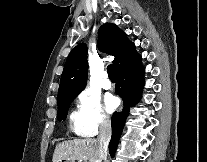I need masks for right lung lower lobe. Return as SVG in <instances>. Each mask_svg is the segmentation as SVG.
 <instances>
[{"label":"right lung lower lobe","mask_w":207,"mask_h":162,"mask_svg":"<svg viewBox=\"0 0 207 162\" xmlns=\"http://www.w3.org/2000/svg\"><path fill=\"white\" fill-rule=\"evenodd\" d=\"M115 72L117 77L115 89L116 93L123 99L124 108L112 116V137L109 144V152L112 157L115 154L126 117L129 114V108L135 105L141 97L144 86V68L141 64V56L136 57Z\"/></svg>","instance_id":"obj_1"}]
</instances>
